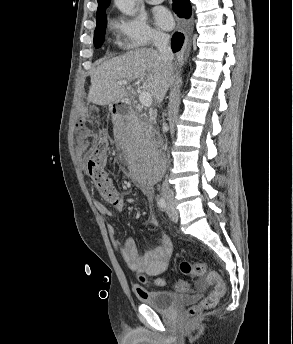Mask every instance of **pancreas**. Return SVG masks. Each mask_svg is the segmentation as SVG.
<instances>
[{"label":"pancreas","mask_w":293,"mask_h":344,"mask_svg":"<svg viewBox=\"0 0 293 344\" xmlns=\"http://www.w3.org/2000/svg\"><path fill=\"white\" fill-rule=\"evenodd\" d=\"M152 118H148L145 123L137 122L131 129L132 133L137 135L141 132H148L151 129Z\"/></svg>","instance_id":"pancreas-1"}]
</instances>
